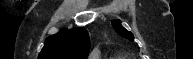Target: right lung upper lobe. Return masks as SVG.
Instances as JSON below:
<instances>
[{"mask_svg":"<svg viewBox=\"0 0 193 59\" xmlns=\"http://www.w3.org/2000/svg\"><path fill=\"white\" fill-rule=\"evenodd\" d=\"M90 40L84 28L63 30L48 37L38 59H86Z\"/></svg>","mask_w":193,"mask_h":59,"instance_id":"cb5924a9","label":"right lung upper lobe"}]
</instances>
